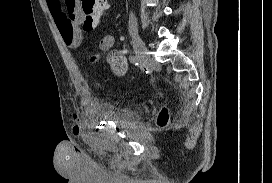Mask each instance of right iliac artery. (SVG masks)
<instances>
[{
	"label": "right iliac artery",
	"mask_w": 272,
	"mask_h": 183,
	"mask_svg": "<svg viewBox=\"0 0 272 183\" xmlns=\"http://www.w3.org/2000/svg\"><path fill=\"white\" fill-rule=\"evenodd\" d=\"M129 60H130V62L132 63V64H135V65H137L138 63V59H137V56H135V55H130L129 56Z\"/></svg>",
	"instance_id": "1"
}]
</instances>
